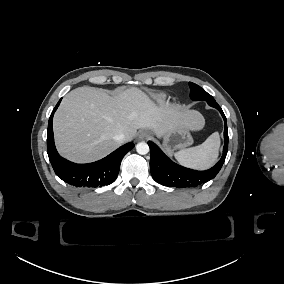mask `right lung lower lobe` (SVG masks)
Wrapping results in <instances>:
<instances>
[{"label": "right lung lower lobe", "instance_id": "right-lung-lower-lobe-1", "mask_svg": "<svg viewBox=\"0 0 284 284\" xmlns=\"http://www.w3.org/2000/svg\"><path fill=\"white\" fill-rule=\"evenodd\" d=\"M60 102L61 99L49 118L47 130V153L56 175L76 187L93 188L111 184L117 178L124 155L134 147V144L127 143L107 157L88 164H76L62 158L55 148L52 129L53 115Z\"/></svg>", "mask_w": 284, "mask_h": 284}]
</instances>
